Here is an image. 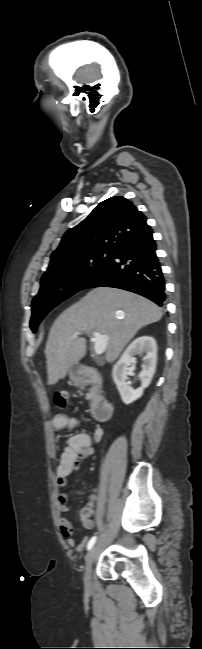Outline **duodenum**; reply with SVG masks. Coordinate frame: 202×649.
Instances as JSON below:
<instances>
[{
    "instance_id": "410a0bca",
    "label": "duodenum",
    "mask_w": 202,
    "mask_h": 649,
    "mask_svg": "<svg viewBox=\"0 0 202 649\" xmlns=\"http://www.w3.org/2000/svg\"><path fill=\"white\" fill-rule=\"evenodd\" d=\"M79 381L83 384H92L98 389L101 387L102 378L98 371L90 366H83L77 373ZM113 412L112 402L105 396L97 394L92 404V414L100 421L110 419Z\"/></svg>"
}]
</instances>
